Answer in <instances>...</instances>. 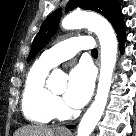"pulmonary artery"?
I'll list each match as a JSON object with an SVG mask.
<instances>
[{"instance_id": "e3ab8cb5", "label": "pulmonary artery", "mask_w": 136, "mask_h": 136, "mask_svg": "<svg viewBox=\"0 0 136 136\" xmlns=\"http://www.w3.org/2000/svg\"><path fill=\"white\" fill-rule=\"evenodd\" d=\"M93 47L94 43L90 37H72L43 52L40 60L44 64L54 67L73 57L80 50H88Z\"/></svg>"}]
</instances>
